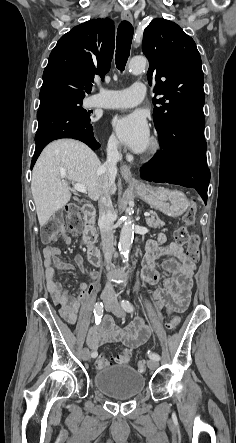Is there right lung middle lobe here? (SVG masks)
<instances>
[{
  "instance_id": "obj_1",
  "label": "right lung middle lobe",
  "mask_w": 236,
  "mask_h": 443,
  "mask_svg": "<svg viewBox=\"0 0 236 443\" xmlns=\"http://www.w3.org/2000/svg\"><path fill=\"white\" fill-rule=\"evenodd\" d=\"M49 98L59 99L64 103H66L67 105H69L70 107H72L80 116L84 118H90V112L86 111L81 106L84 96L72 95V94H56Z\"/></svg>"
}]
</instances>
